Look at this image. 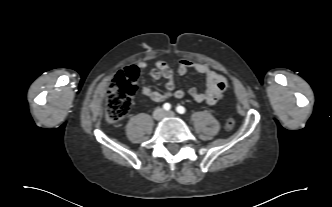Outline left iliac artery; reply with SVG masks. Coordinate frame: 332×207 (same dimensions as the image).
<instances>
[{"label": "left iliac artery", "mask_w": 332, "mask_h": 207, "mask_svg": "<svg viewBox=\"0 0 332 207\" xmlns=\"http://www.w3.org/2000/svg\"><path fill=\"white\" fill-rule=\"evenodd\" d=\"M176 111L179 113V114H184L186 112V109L183 107V106H177L176 107Z\"/></svg>", "instance_id": "44dca946"}]
</instances>
